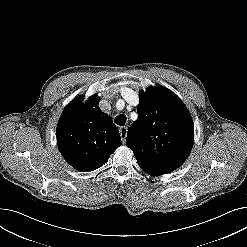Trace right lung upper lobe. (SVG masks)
Here are the masks:
<instances>
[{"label":"right lung upper lobe","mask_w":247,"mask_h":247,"mask_svg":"<svg viewBox=\"0 0 247 247\" xmlns=\"http://www.w3.org/2000/svg\"><path fill=\"white\" fill-rule=\"evenodd\" d=\"M82 101L79 96L64 108L57 126V144L71 166L90 172L121 146V137L112 119L100 110L97 96Z\"/></svg>","instance_id":"right-lung-upper-lobe-1"}]
</instances>
